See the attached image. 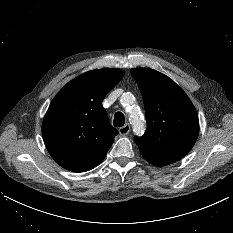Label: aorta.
<instances>
[{
    "label": "aorta",
    "mask_w": 233,
    "mask_h": 233,
    "mask_svg": "<svg viewBox=\"0 0 233 233\" xmlns=\"http://www.w3.org/2000/svg\"><path fill=\"white\" fill-rule=\"evenodd\" d=\"M121 101L123 104H130L133 101V95L130 93H126L122 96ZM132 124L134 127V131L137 133H142L144 131V122L140 115L133 114L132 115Z\"/></svg>",
    "instance_id": "obj_1"
}]
</instances>
